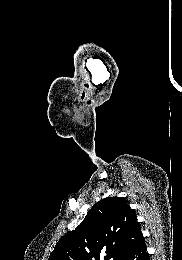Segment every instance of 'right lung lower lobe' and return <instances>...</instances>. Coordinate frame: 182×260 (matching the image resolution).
<instances>
[{
    "instance_id": "obj_1",
    "label": "right lung lower lobe",
    "mask_w": 182,
    "mask_h": 260,
    "mask_svg": "<svg viewBox=\"0 0 182 260\" xmlns=\"http://www.w3.org/2000/svg\"><path fill=\"white\" fill-rule=\"evenodd\" d=\"M120 260H149V254L146 249L145 241L129 251Z\"/></svg>"
}]
</instances>
